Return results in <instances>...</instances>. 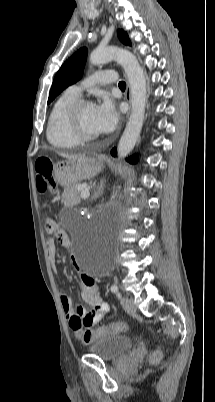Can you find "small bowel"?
<instances>
[{"label":"small bowel","instance_id":"1","mask_svg":"<svg viewBox=\"0 0 215 402\" xmlns=\"http://www.w3.org/2000/svg\"><path fill=\"white\" fill-rule=\"evenodd\" d=\"M48 233H56L58 241L61 246L69 247L70 238L66 232L59 229L56 223H53L52 228L45 229ZM47 253L49 260L54 269H56V254L57 246L53 239H48L46 241ZM82 298L90 309L78 306L73 307L71 298L62 290H60V301L65 314V317L69 323V326L75 330L79 331L82 327L93 326L98 323L104 315L108 312L109 306L103 301L101 297V292L96 281L88 276L82 275Z\"/></svg>","mask_w":215,"mask_h":402}]
</instances>
